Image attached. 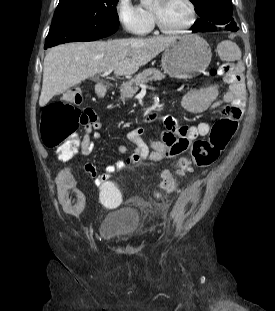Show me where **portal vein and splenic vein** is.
Returning a JSON list of instances; mask_svg holds the SVG:
<instances>
[{
    "mask_svg": "<svg viewBox=\"0 0 275 311\" xmlns=\"http://www.w3.org/2000/svg\"><path fill=\"white\" fill-rule=\"evenodd\" d=\"M111 72H112V70H108V71L104 72L101 76H102V77H106V76L109 75ZM139 85H140V87H141L142 89H146V88H147V86L144 85V84H139Z\"/></svg>",
    "mask_w": 275,
    "mask_h": 311,
    "instance_id": "1",
    "label": "portal vein and splenic vein"
}]
</instances>
